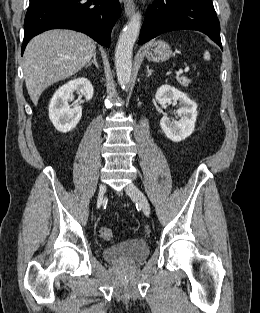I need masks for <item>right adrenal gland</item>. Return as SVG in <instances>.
Segmentation results:
<instances>
[{
	"instance_id": "obj_1",
	"label": "right adrenal gland",
	"mask_w": 260,
	"mask_h": 313,
	"mask_svg": "<svg viewBox=\"0 0 260 313\" xmlns=\"http://www.w3.org/2000/svg\"><path fill=\"white\" fill-rule=\"evenodd\" d=\"M94 64L96 68L98 69L97 59H96V53L93 55V60L87 63L86 68Z\"/></svg>"
}]
</instances>
